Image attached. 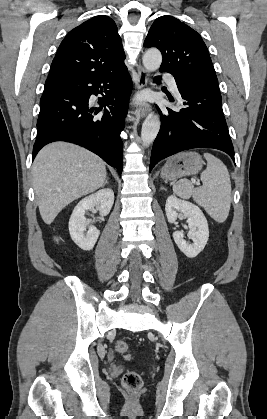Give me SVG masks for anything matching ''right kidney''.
Masks as SVG:
<instances>
[{
	"mask_svg": "<svg viewBox=\"0 0 267 419\" xmlns=\"http://www.w3.org/2000/svg\"><path fill=\"white\" fill-rule=\"evenodd\" d=\"M114 203V192L110 188L101 189L82 199L74 208L69 220V232L72 240L83 250L93 249L100 231L95 226H89L87 229L85 212L94 208L99 209L101 216L109 214Z\"/></svg>",
	"mask_w": 267,
	"mask_h": 419,
	"instance_id": "obj_1",
	"label": "right kidney"
}]
</instances>
